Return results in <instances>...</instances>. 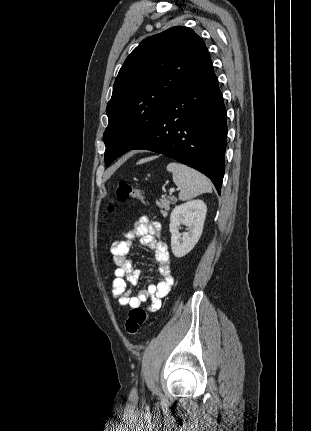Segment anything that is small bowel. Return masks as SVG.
Instances as JSON below:
<instances>
[{
	"label": "small bowel",
	"mask_w": 311,
	"mask_h": 431,
	"mask_svg": "<svg viewBox=\"0 0 311 431\" xmlns=\"http://www.w3.org/2000/svg\"><path fill=\"white\" fill-rule=\"evenodd\" d=\"M134 240H139L143 246L154 252L158 279L132 295L128 285L137 284L140 276L139 270L134 268L133 261L128 256ZM110 251L116 265L112 282L113 297L120 305L131 309L139 308L143 302L150 299L151 304L146 310H159L161 299L168 294L173 283L170 253L167 244L162 240L161 224L146 216L140 217L133 228L124 233L123 238L112 243Z\"/></svg>",
	"instance_id": "obj_1"
}]
</instances>
